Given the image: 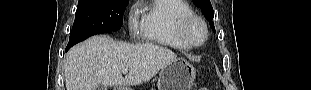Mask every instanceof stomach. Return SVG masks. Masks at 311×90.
<instances>
[{"label":"stomach","instance_id":"obj_1","mask_svg":"<svg viewBox=\"0 0 311 90\" xmlns=\"http://www.w3.org/2000/svg\"><path fill=\"white\" fill-rule=\"evenodd\" d=\"M196 78L194 67L179 58L164 66L158 78V90H191Z\"/></svg>","mask_w":311,"mask_h":90}]
</instances>
